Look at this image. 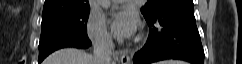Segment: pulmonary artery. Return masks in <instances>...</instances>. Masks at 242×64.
Segmentation results:
<instances>
[{
  "label": "pulmonary artery",
  "mask_w": 242,
  "mask_h": 64,
  "mask_svg": "<svg viewBox=\"0 0 242 64\" xmlns=\"http://www.w3.org/2000/svg\"><path fill=\"white\" fill-rule=\"evenodd\" d=\"M114 3H122L125 2L126 0H112Z\"/></svg>",
  "instance_id": "1"
}]
</instances>
